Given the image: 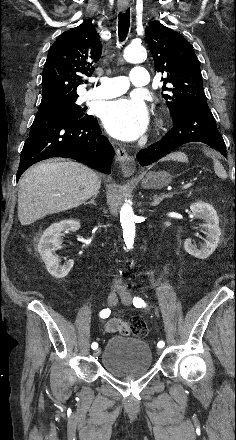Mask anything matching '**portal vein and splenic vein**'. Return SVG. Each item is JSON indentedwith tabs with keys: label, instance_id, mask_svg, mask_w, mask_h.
I'll use <instances>...</instances> for the list:
<instances>
[{
	"label": "portal vein and splenic vein",
	"instance_id": "portal-vein-and-splenic-vein-1",
	"mask_svg": "<svg viewBox=\"0 0 236 440\" xmlns=\"http://www.w3.org/2000/svg\"><path fill=\"white\" fill-rule=\"evenodd\" d=\"M192 186V183L190 182V183H187V184H185L183 187H182V190H185V189H188V188H190Z\"/></svg>",
	"mask_w": 236,
	"mask_h": 440
}]
</instances>
